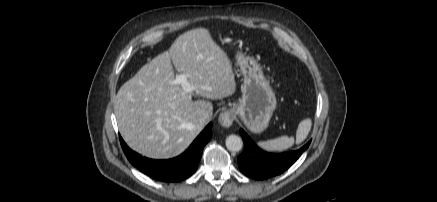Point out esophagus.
Returning <instances> with one entry per match:
<instances>
[{"label":"esophagus","instance_id":"1","mask_svg":"<svg viewBox=\"0 0 437 202\" xmlns=\"http://www.w3.org/2000/svg\"><path fill=\"white\" fill-rule=\"evenodd\" d=\"M234 117V113L231 110H227L220 113L218 120L223 127H230L233 123Z\"/></svg>","mask_w":437,"mask_h":202}]
</instances>
